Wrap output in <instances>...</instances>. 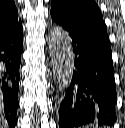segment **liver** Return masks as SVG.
Masks as SVG:
<instances>
[{
    "label": "liver",
    "mask_w": 125,
    "mask_h": 128,
    "mask_svg": "<svg viewBox=\"0 0 125 128\" xmlns=\"http://www.w3.org/2000/svg\"><path fill=\"white\" fill-rule=\"evenodd\" d=\"M0 128H7V125L4 123L3 109H2V102H1V100H0Z\"/></svg>",
    "instance_id": "obj_1"
}]
</instances>
